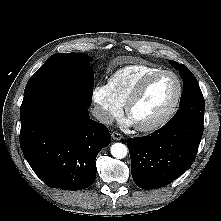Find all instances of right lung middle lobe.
<instances>
[{
	"label": "right lung middle lobe",
	"mask_w": 221,
	"mask_h": 221,
	"mask_svg": "<svg viewBox=\"0 0 221 221\" xmlns=\"http://www.w3.org/2000/svg\"><path fill=\"white\" fill-rule=\"evenodd\" d=\"M83 54L57 53L28 81L20 116L36 104L55 97H68L87 106L92 102L94 73Z\"/></svg>",
	"instance_id": "dd1d6c3e"
}]
</instances>
